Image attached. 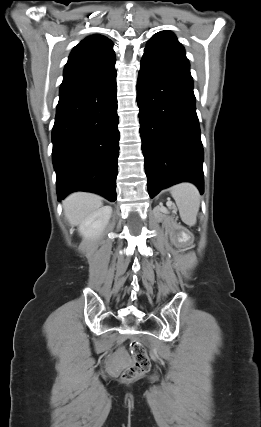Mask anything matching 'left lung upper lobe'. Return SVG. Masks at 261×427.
<instances>
[{
  "label": "left lung upper lobe",
  "mask_w": 261,
  "mask_h": 427,
  "mask_svg": "<svg viewBox=\"0 0 261 427\" xmlns=\"http://www.w3.org/2000/svg\"><path fill=\"white\" fill-rule=\"evenodd\" d=\"M145 51H151L177 61L189 64L183 46L170 31L156 33L147 43Z\"/></svg>",
  "instance_id": "left-lung-upper-lobe-1"
}]
</instances>
